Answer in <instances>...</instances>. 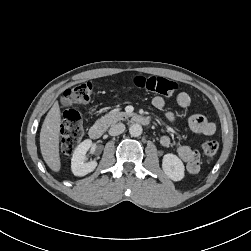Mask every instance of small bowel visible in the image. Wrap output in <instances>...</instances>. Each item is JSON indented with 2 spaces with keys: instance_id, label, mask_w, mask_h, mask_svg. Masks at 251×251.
<instances>
[{
  "instance_id": "c3829d8e",
  "label": "small bowel",
  "mask_w": 251,
  "mask_h": 251,
  "mask_svg": "<svg viewBox=\"0 0 251 251\" xmlns=\"http://www.w3.org/2000/svg\"><path fill=\"white\" fill-rule=\"evenodd\" d=\"M176 104L180 108H186L190 104V96L186 92H181L176 97ZM152 105L156 109H163L165 106L164 98L156 96L152 99ZM168 120L173 121L175 116L173 113L166 114ZM188 129L198 137L211 136L215 133V125L209 122L203 115H193L188 120ZM160 143L163 147H170L172 139L165 135L161 137ZM178 156L185 163L186 169L190 174L198 173L200 169L199 155L196 150L188 145H183L178 148Z\"/></svg>"
}]
</instances>
